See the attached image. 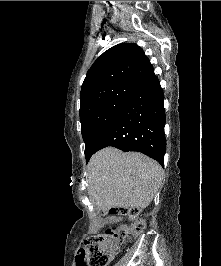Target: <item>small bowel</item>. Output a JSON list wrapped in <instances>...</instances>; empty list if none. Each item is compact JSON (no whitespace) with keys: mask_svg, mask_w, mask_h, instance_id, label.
<instances>
[{"mask_svg":"<svg viewBox=\"0 0 221 266\" xmlns=\"http://www.w3.org/2000/svg\"><path fill=\"white\" fill-rule=\"evenodd\" d=\"M77 250L80 252H74L73 256L77 257L76 258V266H88V264L85 262V256L86 253L85 252H81V251H85L86 247L85 246H78Z\"/></svg>","mask_w":221,"mask_h":266,"instance_id":"small-bowel-1","label":"small bowel"}]
</instances>
